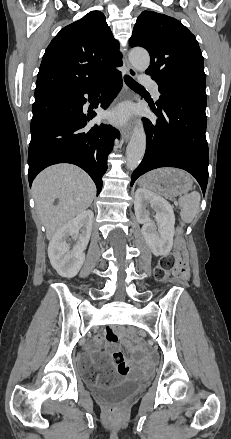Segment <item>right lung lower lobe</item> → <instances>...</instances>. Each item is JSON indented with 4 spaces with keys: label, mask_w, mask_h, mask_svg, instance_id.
I'll use <instances>...</instances> for the list:
<instances>
[{
    "label": "right lung lower lobe",
    "mask_w": 231,
    "mask_h": 439,
    "mask_svg": "<svg viewBox=\"0 0 231 439\" xmlns=\"http://www.w3.org/2000/svg\"><path fill=\"white\" fill-rule=\"evenodd\" d=\"M106 85L98 106L107 109L122 87L121 73L111 72L95 84L79 91H63L38 98L53 97L62 103V109L52 115L31 120V141L28 150V179L30 186L36 175L44 168L57 163H72L84 169L97 187L102 188V176L107 170V157L112 150L118 131L110 125L88 122L95 112L85 114L82 110L87 99Z\"/></svg>",
    "instance_id": "1"
}]
</instances>
